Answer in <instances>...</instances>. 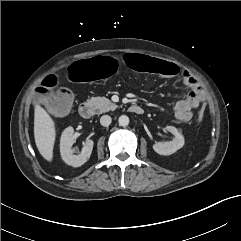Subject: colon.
<instances>
[{
  "label": "colon",
  "mask_w": 241,
  "mask_h": 241,
  "mask_svg": "<svg viewBox=\"0 0 241 241\" xmlns=\"http://www.w3.org/2000/svg\"><path fill=\"white\" fill-rule=\"evenodd\" d=\"M123 62L136 70L144 71L155 76H163L172 79L179 78L183 71L181 67L164 62L151 56L129 55ZM119 62L110 53H101L95 57H88L73 62L69 68L71 79L77 83L111 78L117 74ZM58 83L56 76L47 77L39 92L44 93L55 88ZM43 103L52 111H64L69 108L72 102V95L63 89L55 94L47 95L42 98ZM205 110L202 108L198 115V120L204 118Z\"/></svg>",
  "instance_id": "5ec220e1"
}]
</instances>
